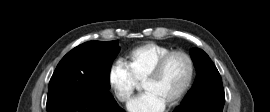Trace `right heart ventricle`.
<instances>
[{"instance_id":"obj_1","label":"right heart ventricle","mask_w":270,"mask_h":112,"mask_svg":"<svg viewBox=\"0 0 270 112\" xmlns=\"http://www.w3.org/2000/svg\"><path fill=\"white\" fill-rule=\"evenodd\" d=\"M170 51L172 48L165 45L147 43L129 51L125 56V65L134 78L142 83L158 60Z\"/></svg>"}]
</instances>
